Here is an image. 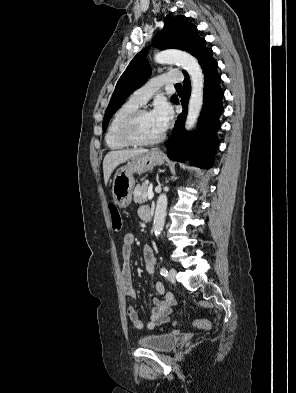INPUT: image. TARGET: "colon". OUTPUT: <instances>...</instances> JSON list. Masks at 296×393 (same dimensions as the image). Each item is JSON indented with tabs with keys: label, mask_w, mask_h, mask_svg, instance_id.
Instances as JSON below:
<instances>
[{
	"label": "colon",
	"mask_w": 296,
	"mask_h": 393,
	"mask_svg": "<svg viewBox=\"0 0 296 393\" xmlns=\"http://www.w3.org/2000/svg\"><path fill=\"white\" fill-rule=\"evenodd\" d=\"M108 209H109V213H110L112 228L115 231H120L123 227V221H122V218H121V215L119 213L117 206L113 202H110ZM194 325L197 326L198 328L204 329V330H207L210 328L209 321L205 320V319L195 321Z\"/></svg>",
	"instance_id": "5ec220e1"
}]
</instances>
